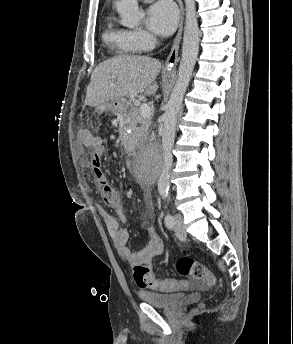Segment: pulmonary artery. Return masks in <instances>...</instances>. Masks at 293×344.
<instances>
[{"label":"pulmonary artery","mask_w":293,"mask_h":344,"mask_svg":"<svg viewBox=\"0 0 293 344\" xmlns=\"http://www.w3.org/2000/svg\"><path fill=\"white\" fill-rule=\"evenodd\" d=\"M142 1H144V2H150V1H153V0H142Z\"/></svg>","instance_id":"e3ab8cb5"}]
</instances>
